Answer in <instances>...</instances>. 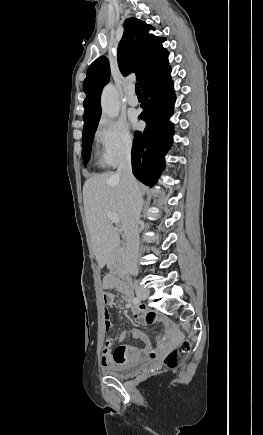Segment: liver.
<instances>
[{"label": "liver", "mask_w": 263, "mask_h": 435, "mask_svg": "<svg viewBox=\"0 0 263 435\" xmlns=\"http://www.w3.org/2000/svg\"><path fill=\"white\" fill-rule=\"evenodd\" d=\"M83 201L93 251L103 268L119 244L107 212L117 214L125 230L129 223L121 178L114 172L91 176L83 186Z\"/></svg>", "instance_id": "obj_1"}]
</instances>
